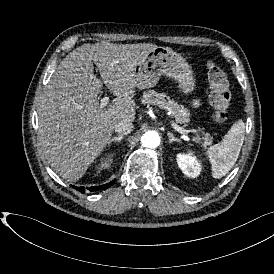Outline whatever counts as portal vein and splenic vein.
Masks as SVG:
<instances>
[{"mask_svg": "<svg viewBox=\"0 0 274 274\" xmlns=\"http://www.w3.org/2000/svg\"><path fill=\"white\" fill-rule=\"evenodd\" d=\"M109 103V97H103L101 100H100V109H105L107 104ZM172 127L178 131L179 133L183 134L182 138L185 139V134H188L190 132V130H186L182 127H180L179 125H177L176 123H172Z\"/></svg>", "mask_w": 274, "mask_h": 274, "instance_id": "portal-vein-and-splenic-vein-1", "label": "portal vein and splenic vein"}]
</instances>
